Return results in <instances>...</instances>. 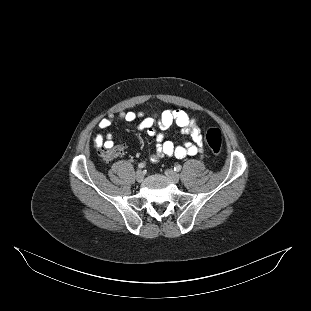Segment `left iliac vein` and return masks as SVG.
Wrapping results in <instances>:
<instances>
[{
  "label": "left iliac vein",
  "instance_id": "obj_1",
  "mask_svg": "<svg viewBox=\"0 0 311 311\" xmlns=\"http://www.w3.org/2000/svg\"><path fill=\"white\" fill-rule=\"evenodd\" d=\"M165 175L174 183H178L180 180V176L178 173L174 172L171 169L165 170Z\"/></svg>",
  "mask_w": 311,
  "mask_h": 311
}]
</instances>
